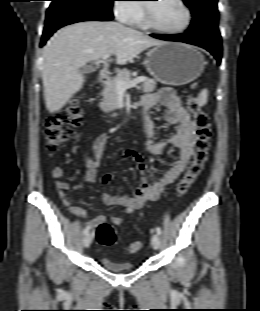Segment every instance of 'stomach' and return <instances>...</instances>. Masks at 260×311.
I'll return each instance as SVG.
<instances>
[{"label": "stomach", "mask_w": 260, "mask_h": 311, "mask_svg": "<svg viewBox=\"0 0 260 311\" xmlns=\"http://www.w3.org/2000/svg\"><path fill=\"white\" fill-rule=\"evenodd\" d=\"M147 71L159 82L172 86L188 84L204 71V56L182 43H164L147 52Z\"/></svg>", "instance_id": "stomach-1"}]
</instances>
